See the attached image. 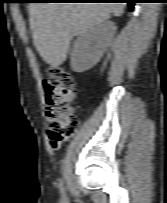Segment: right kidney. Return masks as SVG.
Segmentation results:
<instances>
[{"label":"right kidney","mask_w":167,"mask_h":203,"mask_svg":"<svg viewBox=\"0 0 167 203\" xmlns=\"http://www.w3.org/2000/svg\"><path fill=\"white\" fill-rule=\"evenodd\" d=\"M116 32L115 23L104 21L82 33L75 41L71 68L83 72L92 68L108 48Z\"/></svg>","instance_id":"obj_1"}]
</instances>
